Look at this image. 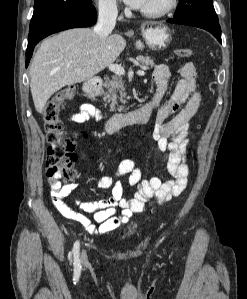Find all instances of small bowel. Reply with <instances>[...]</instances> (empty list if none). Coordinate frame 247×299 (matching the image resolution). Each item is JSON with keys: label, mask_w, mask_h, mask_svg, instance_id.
<instances>
[{"label": "small bowel", "mask_w": 247, "mask_h": 299, "mask_svg": "<svg viewBox=\"0 0 247 299\" xmlns=\"http://www.w3.org/2000/svg\"><path fill=\"white\" fill-rule=\"evenodd\" d=\"M181 76L172 94L167 95L171 71L165 64H158L153 71L156 91L150 103L155 111L153 138L161 151H167L168 180L159 177L142 178L139 168L131 159H124L118 165L114 176H103L96 184L101 189H110L111 196L95 201L77 200V205L85 212L93 214L89 219L84 214L74 211L63 199L78 186L70 183L65 186H53L51 198L62 216L81 224L94 235L112 232L126 224L133 213L143 211L151 199L164 203L181 195L188 182L189 166L188 130L190 120L197 113L201 95L196 85V67L188 62L178 69ZM100 111L93 105L84 103L77 112L70 114L74 123H85L90 119H100ZM126 177L129 186L135 188L131 198L124 197L121 179Z\"/></svg>", "instance_id": "1"}]
</instances>
